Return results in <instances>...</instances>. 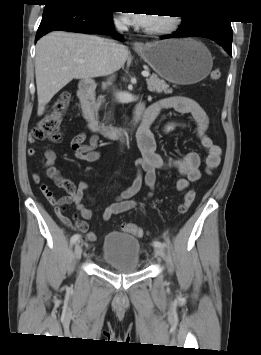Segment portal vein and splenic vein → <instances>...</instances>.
Here are the masks:
<instances>
[{"label": "portal vein and splenic vein", "instance_id": "1", "mask_svg": "<svg viewBox=\"0 0 261 355\" xmlns=\"http://www.w3.org/2000/svg\"><path fill=\"white\" fill-rule=\"evenodd\" d=\"M77 62L78 63H84V60L79 59V60H77ZM142 76L147 78L149 76V73L147 71H143L142 72Z\"/></svg>", "mask_w": 261, "mask_h": 355}]
</instances>
